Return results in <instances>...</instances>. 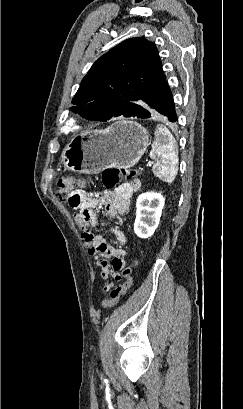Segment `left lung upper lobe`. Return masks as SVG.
Masks as SVG:
<instances>
[{
	"label": "left lung upper lobe",
	"instance_id": "1",
	"mask_svg": "<svg viewBox=\"0 0 243 409\" xmlns=\"http://www.w3.org/2000/svg\"><path fill=\"white\" fill-rule=\"evenodd\" d=\"M165 75L156 46L142 37L130 38L102 55L83 78L72 110L100 120L108 113L123 115Z\"/></svg>",
	"mask_w": 243,
	"mask_h": 409
}]
</instances>
